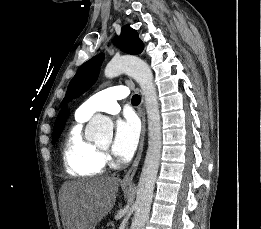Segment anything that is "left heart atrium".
Segmentation results:
<instances>
[{
	"instance_id": "left-heart-atrium-1",
	"label": "left heart atrium",
	"mask_w": 261,
	"mask_h": 229,
	"mask_svg": "<svg viewBox=\"0 0 261 229\" xmlns=\"http://www.w3.org/2000/svg\"><path fill=\"white\" fill-rule=\"evenodd\" d=\"M140 132V124L135 118L120 120L116 125L112 142L113 152L123 159H129L138 146Z\"/></svg>"
}]
</instances>
